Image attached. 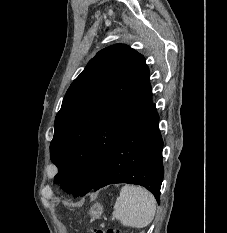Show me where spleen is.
<instances>
[{
	"label": "spleen",
	"mask_w": 227,
	"mask_h": 233,
	"mask_svg": "<svg viewBox=\"0 0 227 233\" xmlns=\"http://www.w3.org/2000/svg\"><path fill=\"white\" fill-rule=\"evenodd\" d=\"M156 200L146 189L125 185L114 205L113 216L123 226L144 228L154 219Z\"/></svg>",
	"instance_id": "3e777b00"
}]
</instances>
